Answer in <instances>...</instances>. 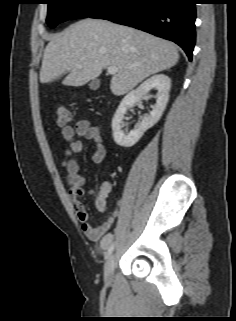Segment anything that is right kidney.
<instances>
[{"mask_svg":"<svg viewBox=\"0 0 236 321\" xmlns=\"http://www.w3.org/2000/svg\"><path fill=\"white\" fill-rule=\"evenodd\" d=\"M157 89L156 103L148 116H144L135 129L125 134L123 128V118L127 110L139 102L142 97L146 96L151 89ZM171 88V80L164 74L153 75L145 80L135 90L129 92L118 106L112 119L113 138L116 144L123 147H131L135 145L143 134L153 127L161 118L169 98Z\"/></svg>","mask_w":236,"mask_h":321,"instance_id":"1","label":"right kidney"}]
</instances>
